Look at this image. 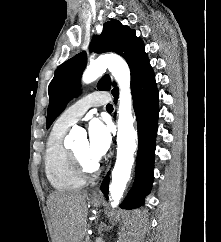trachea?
Masks as SVG:
<instances>
[{"mask_svg":"<svg viewBox=\"0 0 221 242\" xmlns=\"http://www.w3.org/2000/svg\"><path fill=\"white\" fill-rule=\"evenodd\" d=\"M106 109L108 111H111V110H113V106L111 104H107Z\"/></svg>","mask_w":221,"mask_h":242,"instance_id":"3493384b","label":"trachea"}]
</instances>
